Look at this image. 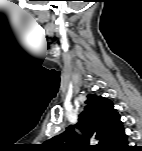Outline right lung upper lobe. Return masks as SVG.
<instances>
[{"label":"right lung upper lobe","mask_w":142,"mask_h":151,"mask_svg":"<svg viewBox=\"0 0 142 151\" xmlns=\"http://www.w3.org/2000/svg\"><path fill=\"white\" fill-rule=\"evenodd\" d=\"M75 127L82 130V137L75 132L74 126H71L60 135L46 141V149L113 151L127 138L120 115L114 109L113 103L107 98L93 94H88L85 109L79 116V122ZM90 138L97 139L99 144L89 145Z\"/></svg>","instance_id":"1"}]
</instances>
